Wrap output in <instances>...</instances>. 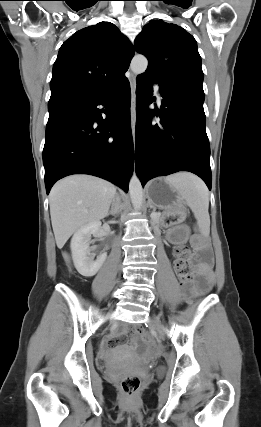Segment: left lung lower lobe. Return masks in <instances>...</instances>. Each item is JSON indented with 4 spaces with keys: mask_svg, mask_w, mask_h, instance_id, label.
Returning <instances> with one entry per match:
<instances>
[{
    "mask_svg": "<svg viewBox=\"0 0 261 427\" xmlns=\"http://www.w3.org/2000/svg\"><path fill=\"white\" fill-rule=\"evenodd\" d=\"M153 80L137 77L136 172L142 186L157 176L178 171L198 175L211 190L210 145L205 130L204 93L160 87V110L146 111L153 101ZM160 122L152 121V116Z\"/></svg>",
    "mask_w": 261,
    "mask_h": 427,
    "instance_id": "1",
    "label": "left lung lower lobe"
}]
</instances>
